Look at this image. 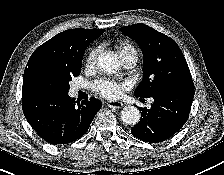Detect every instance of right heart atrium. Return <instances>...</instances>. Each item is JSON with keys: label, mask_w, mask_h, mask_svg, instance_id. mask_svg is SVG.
Returning a JSON list of instances; mask_svg holds the SVG:
<instances>
[{"label": "right heart atrium", "mask_w": 224, "mask_h": 175, "mask_svg": "<svg viewBox=\"0 0 224 175\" xmlns=\"http://www.w3.org/2000/svg\"><path fill=\"white\" fill-rule=\"evenodd\" d=\"M99 54V48H93L87 55L86 58V66L91 68L96 64L97 58Z\"/></svg>", "instance_id": "right-heart-atrium-1"}]
</instances>
